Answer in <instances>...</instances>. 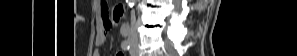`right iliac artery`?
<instances>
[{
    "label": "right iliac artery",
    "instance_id": "1",
    "mask_svg": "<svg viewBox=\"0 0 297 56\" xmlns=\"http://www.w3.org/2000/svg\"><path fill=\"white\" fill-rule=\"evenodd\" d=\"M121 47H122L123 50H129L130 44H129V42L127 40H124L121 43Z\"/></svg>",
    "mask_w": 297,
    "mask_h": 56
}]
</instances>
